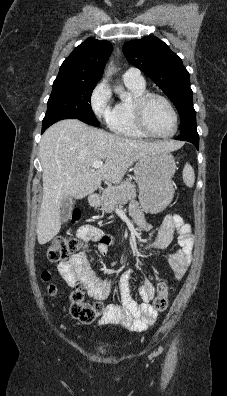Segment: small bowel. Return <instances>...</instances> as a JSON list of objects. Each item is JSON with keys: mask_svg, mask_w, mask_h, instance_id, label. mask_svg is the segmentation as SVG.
<instances>
[{"mask_svg": "<svg viewBox=\"0 0 227 396\" xmlns=\"http://www.w3.org/2000/svg\"><path fill=\"white\" fill-rule=\"evenodd\" d=\"M130 214L135 223L149 230L151 225L145 220L138 203L130 205ZM177 232V248L169 255L168 264L176 279H181L186 273L191 261L194 237L191 228L178 214H168L157 229L154 239L144 249H163L174 242V233ZM77 237L83 241L97 242L98 253L103 256L112 244V238L91 225L78 229ZM58 271L70 287L83 284L89 297L95 300L104 299L113 289H117L120 303L109 304L105 307L103 315L98 320V325L115 324L124 326L134 332H142L154 324L157 311L151 305L155 296V287L150 280L140 283L136 292L138 301L131 295V280L133 273L126 271L117 283L103 279L89 267L84 252L74 254L68 261L58 264Z\"/></svg>", "mask_w": 227, "mask_h": 396, "instance_id": "small-bowel-1", "label": "small bowel"}]
</instances>
